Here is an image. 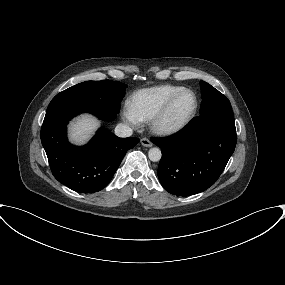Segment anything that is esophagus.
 <instances>
[{
  "mask_svg": "<svg viewBox=\"0 0 285 285\" xmlns=\"http://www.w3.org/2000/svg\"><path fill=\"white\" fill-rule=\"evenodd\" d=\"M140 142L145 147H151L152 146V142L149 139H147V138H142L140 140Z\"/></svg>",
  "mask_w": 285,
  "mask_h": 285,
  "instance_id": "34e87169",
  "label": "esophagus"
}]
</instances>
